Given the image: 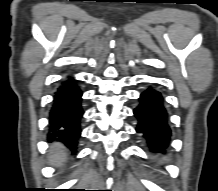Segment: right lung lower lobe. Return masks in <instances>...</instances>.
Listing matches in <instances>:
<instances>
[{"instance_id": "right-lung-lower-lobe-1", "label": "right lung lower lobe", "mask_w": 218, "mask_h": 191, "mask_svg": "<svg viewBox=\"0 0 218 191\" xmlns=\"http://www.w3.org/2000/svg\"><path fill=\"white\" fill-rule=\"evenodd\" d=\"M82 91L73 77L63 81L54 95L49 113V140L62 141L73 151L81 134Z\"/></svg>"}]
</instances>
